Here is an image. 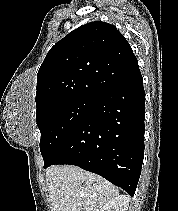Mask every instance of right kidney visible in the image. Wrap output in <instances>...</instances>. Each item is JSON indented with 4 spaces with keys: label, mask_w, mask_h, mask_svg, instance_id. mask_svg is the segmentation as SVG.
Here are the masks:
<instances>
[{
    "label": "right kidney",
    "mask_w": 178,
    "mask_h": 211,
    "mask_svg": "<svg viewBox=\"0 0 178 211\" xmlns=\"http://www.w3.org/2000/svg\"><path fill=\"white\" fill-rule=\"evenodd\" d=\"M129 201L130 199L127 195H118L107 202L100 211H127Z\"/></svg>",
    "instance_id": "ca27d5eb"
}]
</instances>
